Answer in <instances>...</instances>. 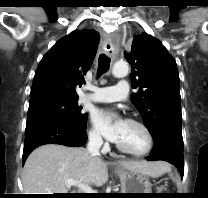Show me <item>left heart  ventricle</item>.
<instances>
[{"mask_svg":"<svg viewBox=\"0 0 208 198\" xmlns=\"http://www.w3.org/2000/svg\"><path fill=\"white\" fill-rule=\"evenodd\" d=\"M117 143L133 151H141L145 149L147 139L139 127L125 122Z\"/></svg>","mask_w":208,"mask_h":198,"instance_id":"left-heart-ventricle-1","label":"left heart ventricle"}]
</instances>
